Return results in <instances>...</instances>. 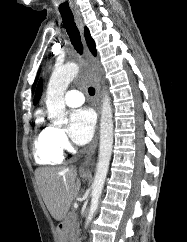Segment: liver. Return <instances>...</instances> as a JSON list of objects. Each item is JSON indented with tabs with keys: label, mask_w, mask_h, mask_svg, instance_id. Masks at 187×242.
Segmentation results:
<instances>
[{
	"label": "liver",
	"mask_w": 187,
	"mask_h": 242,
	"mask_svg": "<svg viewBox=\"0 0 187 242\" xmlns=\"http://www.w3.org/2000/svg\"><path fill=\"white\" fill-rule=\"evenodd\" d=\"M35 177L51 216L57 221L63 220L81 187L76 169L43 167L35 171Z\"/></svg>",
	"instance_id": "liver-1"
}]
</instances>
